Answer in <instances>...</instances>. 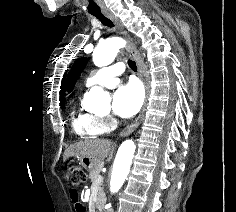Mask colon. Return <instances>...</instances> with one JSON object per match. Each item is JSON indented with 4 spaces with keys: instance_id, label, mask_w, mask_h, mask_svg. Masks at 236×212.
Segmentation results:
<instances>
[{
    "instance_id": "obj_1",
    "label": "colon",
    "mask_w": 236,
    "mask_h": 212,
    "mask_svg": "<svg viewBox=\"0 0 236 212\" xmlns=\"http://www.w3.org/2000/svg\"><path fill=\"white\" fill-rule=\"evenodd\" d=\"M67 179L73 187H77L85 181V173L78 165L70 164L67 168Z\"/></svg>"
}]
</instances>
